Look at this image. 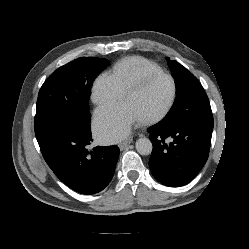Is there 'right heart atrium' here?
Segmentation results:
<instances>
[{
	"label": "right heart atrium",
	"mask_w": 249,
	"mask_h": 249,
	"mask_svg": "<svg viewBox=\"0 0 249 249\" xmlns=\"http://www.w3.org/2000/svg\"><path fill=\"white\" fill-rule=\"evenodd\" d=\"M123 90L110 73L99 75L91 89V100L97 106H104L123 97Z\"/></svg>",
	"instance_id": "right-heart-atrium-1"
}]
</instances>
